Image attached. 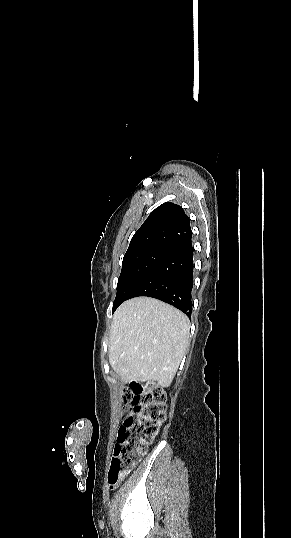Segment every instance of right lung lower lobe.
Segmentation results:
<instances>
[{
    "mask_svg": "<svg viewBox=\"0 0 291 538\" xmlns=\"http://www.w3.org/2000/svg\"><path fill=\"white\" fill-rule=\"evenodd\" d=\"M193 250L191 239L171 249L139 282L128 299L153 297L173 305L190 317Z\"/></svg>",
    "mask_w": 291,
    "mask_h": 538,
    "instance_id": "98d812e1",
    "label": "right lung lower lobe"
}]
</instances>
